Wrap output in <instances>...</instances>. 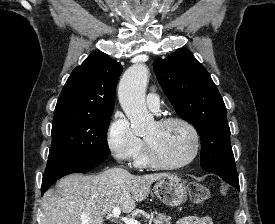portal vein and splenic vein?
Instances as JSON below:
<instances>
[{
	"label": "portal vein and splenic vein",
	"instance_id": "obj_1",
	"mask_svg": "<svg viewBox=\"0 0 275 224\" xmlns=\"http://www.w3.org/2000/svg\"><path fill=\"white\" fill-rule=\"evenodd\" d=\"M120 214H121V209L119 207H115L109 216L114 217L115 219H120L125 224H141L140 222H138L133 218L121 217ZM81 220L84 222L91 221V219L87 217H82Z\"/></svg>",
	"mask_w": 275,
	"mask_h": 224
}]
</instances>
